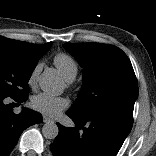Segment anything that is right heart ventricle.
<instances>
[{"instance_id":"1","label":"right heart ventricle","mask_w":156,"mask_h":156,"mask_svg":"<svg viewBox=\"0 0 156 156\" xmlns=\"http://www.w3.org/2000/svg\"><path fill=\"white\" fill-rule=\"evenodd\" d=\"M53 62L66 81L71 82L75 79L78 73V65L70 55L58 53Z\"/></svg>"}]
</instances>
